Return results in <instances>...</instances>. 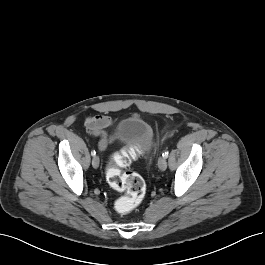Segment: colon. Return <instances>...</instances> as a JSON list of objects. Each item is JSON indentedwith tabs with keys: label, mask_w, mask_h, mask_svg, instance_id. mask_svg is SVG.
<instances>
[{
	"label": "colon",
	"mask_w": 265,
	"mask_h": 265,
	"mask_svg": "<svg viewBox=\"0 0 265 265\" xmlns=\"http://www.w3.org/2000/svg\"><path fill=\"white\" fill-rule=\"evenodd\" d=\"M138 154L139 151L134 146L124 149L112 156L107 167L106 176L109 185L115 190L126 192V196L119 199L116 204V209L121 214L134 209L145 195L143 179L134 172L121 171V168L127 167Z\"/></svg>",
	"instance_id": "obj_1"
}]
</instances>
